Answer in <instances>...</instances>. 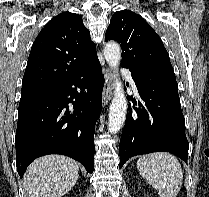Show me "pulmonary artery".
Returning <instances> with one entry per match:
<instances>
[{
    "instance_id": "obj_1",
    "label": "pulmonary artery",
    "mask_w": 209,
    "mask_h": 197,
    "mask_svg": "<svg viewBox=\"0 0 209 197\" xmlns=\"http://www.w3.org/2000/svg\"><path fill=\"white\" fill-rule=\"evenodd\" d=\"M123 73H124L125 77L129 80L133 89L136 90V85H135L134 80L132 78L131 71L129 69H123Z\"/></svg>"
}]
</instances>
